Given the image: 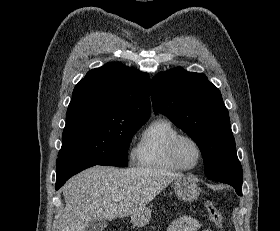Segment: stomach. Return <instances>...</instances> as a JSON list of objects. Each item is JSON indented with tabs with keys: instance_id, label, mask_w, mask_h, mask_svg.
<instances>
[{
	"instance_id": "stomach-1",
	"label": "stomach",
	"mask_w": 280,
	"mask_h": 231,
	"mask_svg": "<svg viewBox=\"0 0 280 231\" xmlns=\"http://www.w3.org/2000/svg\"><path fill=\"white\" fill-rule=\"evenodd\" d=\"M172 187L179 199H183V201H194L200 193V187L197 185V179H195V177H190V175L176 177L172 183ZM150 217L151 209H149V207H144V211H142L141 215L131 217V221L133 225L143 227V225L148 223Z\"/></svg>"
}]
</instances>
